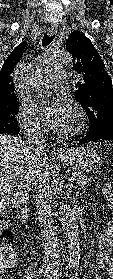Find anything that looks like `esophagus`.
<instances>
[{"instance_id": "obj_1", "label": "esophagus", "mask_w": 113, "mask_h": 279, "mask_svg": "<svg viewBox=\"0 0 113 279\" xmlns=\"http://www.w3.org/2000/svg\"><path fill=\"white\" fill-rule=\"evenodd\" d=\"M47 33L50 36H53L54 34H56L57 33V26L56 25H51L47 29ZM56 153H57L58 156H66V155H68V150L65 149V148H59Z\"/></svg>"}]
</instances>
